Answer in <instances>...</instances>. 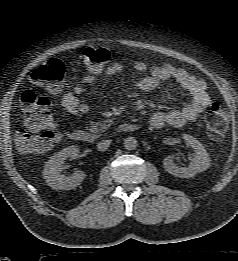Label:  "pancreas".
<instances>
[{
  "label": "pancreas",
  "mask_w": 238,
  "mask_h": 261,
  "mask_svg": "<svg viewBox=\"0 0 238 261\" xmlns=\"http://www.w3.org/2000/svg\"><path fill=\"white\" fill-rule=\"evenodd\" d=\"M112 120L108 119L104 123L102 122H91V126L89 128V131L92 133H102L105 132L109 127L111 126Z\"/></svg>",
  "instance_id": "obj_1"
}]
</instances>
